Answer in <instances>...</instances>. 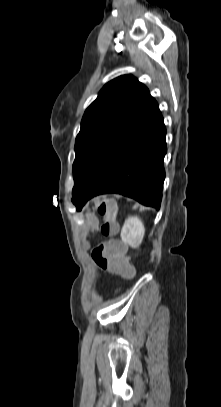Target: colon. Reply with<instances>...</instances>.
Instances as JSON below:
<instances>
[{
	"mask_svg": "<svg viewBox=\"0 0 221 407\" xmlns=\"http://www.w3.org/2000/svg\"><path fill=\"white\" fill-rule=\"evenodd\" d=\"M94 206L98 213L103 217L101 225V233L105 237H111L117 234L119 230L116 221L117 206L116 203L108 198L98 197L94 201ZM91 225L95 226V220H90ZM126 246L120 239H104L103 243L96 247L92 252V257L95 263L105 271L118 274L120 279H126L128 283H132L136 274L137 267L129 260L128 255H124ZM125 285L120 283L115 287L110 295L117 298L120 295V290H123Z\"/></svg>",
	"mask_w": 221,
	"mask_h": 407,
	"instance_id": "5ec220e1",
	"label": "colon"
}]
</instances>
